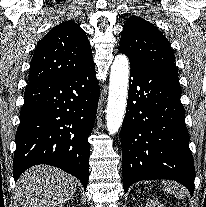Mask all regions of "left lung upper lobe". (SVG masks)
I'll list each match as a JSON object with an SVG mask.
<instances>
[{
	"mask_svg": "<svg viewBox=\"0 0 206 207\" xmlns=\"http://www.w3.org/2000/svg\"><path fill=\"white\" fill-rule=\"evenodd\" d=\"M119 51L132 63L178 76L168 40L154 25L140 17L131 16L126 21Z\"/></svg>",
	"mask_w": 206,
	"mask_h": 207,
	"instance_id": "obj_1",
	"label": "left lung upper lobe"
}]
</instances>
